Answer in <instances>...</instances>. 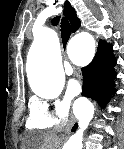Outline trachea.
<instances>
[{
  "mask_svg": "<svg viewBox=\"0 0 124 149\" xmlns=\"http://www.w3.org/2000/svg\"><path fill=\"white\" fill-rule=\"evenodd\" d=\"M71 35V26L66 18H62L61 20V37L63 43L67 42Z\"/></svg>",
  "mask_w": 124,
  "mask_h": 149,
  "instance_id": "3493384b",
  "label": "trachea"
}]
</instances>
